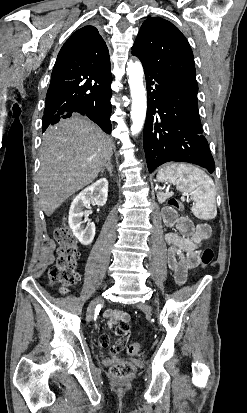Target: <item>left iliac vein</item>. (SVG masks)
<instances>
[{
    "mask_svg": "<svg viewBox=\"0 0 247 413\" xmlns=\"http://www.w3.org/2000/svg\"><path fill=\"white\" fill-rule=\"evenodd\" d=\"M139 308L142 309L146 313H149L151 311V307L147 304L140 305Z\"/></svg>",
    "mask_w": 247,
    "mask_h": 413,
    "instance_id": "left-iliac-vein-1",
    "label": "left iliac vein"
}]
</instances>
